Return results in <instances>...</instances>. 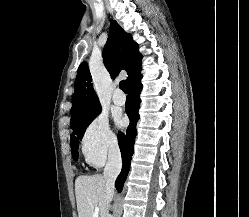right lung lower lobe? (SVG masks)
Wrapping results in <instances>:
<instances>
[{
  "label": "right lung lower lobe",
  "mask_w": 249,
  "mask_h": 217,
  "mask_svg": "<svg viewBox=\"0 0 249 217\" xmlns=\"http://www.w3.org/2000/svg\"><path fill=\"white\" fill-rule=\"evenodd\" d=\"M140 71L141 69L129 82V95L127 96L125 110L129 117L130 124L128 126L126 134L122 132H119L118 134V142L123 162L121 173L119 174L115 182V187L119 192L122 191L124 182L130 169V162L134 151L135 137L137 134L136 123L139 120L138 110L140 108V92L142 90V75Z\"/></svg>",
  "instance_id": "1"
}]
</instances>
